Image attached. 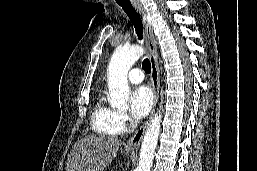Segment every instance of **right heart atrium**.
Listing matches in <instances>:
<instances>
[{
	"instance_id": "d8ad5b80",
	"label": "right heart atrium",
	"mask_w": 257,
	"mask_h": 171,
	"mask_svg": "<svg viewBox=\"0 0 257 171\" xmlns=\"http://www.w3.org/2000/svg\"><path fill=\"white\" fill-rule=\"evenodd\" d=\"M118 118H119V122H120L122 127H124L129 121L128 116L123 112L118 113Z\"/></svg>"
}]
</instances>
